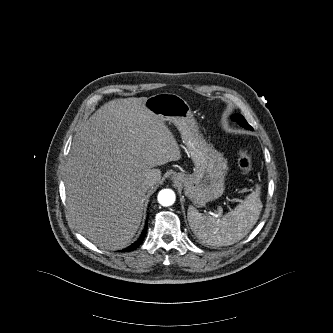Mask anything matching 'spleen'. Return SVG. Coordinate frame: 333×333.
Returning <instances> with one entry per match:
<instances>
[{"label":"spleen","instance_id":"3e777b00","mask_svg":"<svg viewBox=\"0 0 333 333\" xmlns=\"http://www.w3.org/2000/svg\"><path fill=\"white\" fill-rule=\"evenodd\" d=\"M262 202L260 186L250 193L234 210L221 218L205 216L193 207H188L187 218L192 232L204 244L228 246L243 239L259 219Z\"/></svg>","mask_w":333,"mask_h":333}]
</instances>
